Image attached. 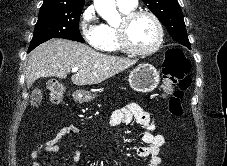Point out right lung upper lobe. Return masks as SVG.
<instances>
[{"label": "right lung upper lobe", "mask_w": 227, "mask_h": 166, "mask_svg": "<svg viewBox=\"0 0 227 166\" xmlns=\"http://www.w3.org/2000/svg\"><path fill=\"white\" fill-rule=\"evenodd\" d=\"M84 1L85 0H44L41 8L82 9Z\"/></svg>", "instance_id": "obj_1"}]
</instances>
